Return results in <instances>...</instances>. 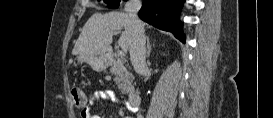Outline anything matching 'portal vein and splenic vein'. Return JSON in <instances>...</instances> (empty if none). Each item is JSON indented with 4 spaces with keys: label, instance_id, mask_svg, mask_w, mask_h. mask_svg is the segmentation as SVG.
Masks as SVG:
<instances>
[{
    "label": "portal vein and splenic vein",
    "instance_id": "1",
    "mask_svg": "<svg viewBox=\"0 0 273 118\" xmlns=\"http://www.w3.org/2000/svg\"><path fill=\"white\" fill-rule=\"evenodd\" d=\"M114 34H117V32L114 31ZM121 48H122V49L118 51V55H119V56H123V55H124V51H125V50H124L123 47H121Z\"/></svg>",
    "mask_w": 273,
    "mask_h": 118
}]
</instances>
